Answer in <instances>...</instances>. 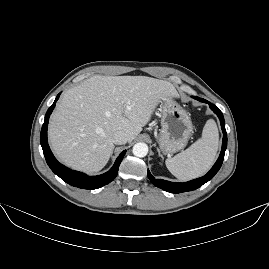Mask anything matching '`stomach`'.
I'll use <instances>...</instances> for the list:
<instances>
[{
  "mask_svg": "<svg viewBox=\"0 0 269 269\" xmlns=\"http://www.w3.org/2000/svg\"><path fill=\"white\" fill-rule=\"evenodd\" d=\"M157 105L162 109L159 146L164 153H175L186 146L192 134L191 118L172 97L161 98Z\"/></svg>",
  "mask_w": 269,
  "mask_h": 269,
  "instance_id": "1",
  "label": "stomach"
}]
</instances>
